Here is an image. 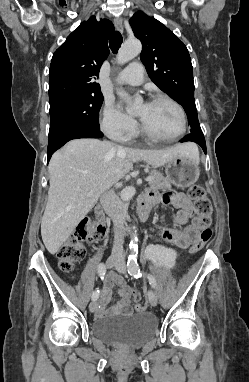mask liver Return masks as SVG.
I'll return each mask as SVG.
<instances>
[{"label":"liver","instance_id":"obj_1","mask_svg":"<svg viewBox=\"0 0 249 382\" xmlns=\"http://www.w3.org/2000/svg\"><path fill=\"white\" fill-rule=\"evenodd\" d=\"M178 155L199 160L194 144L184 143L160 150L117 146L98 139H74L54 153L49 162L48 202L41 221V236L54 255L78 223L91 211L99 196L144 161L153 167L167 164ZM93 192L88 197L87 194Z\"/></svg>","mask_w":249,"mask_h":382}]
</instances>
